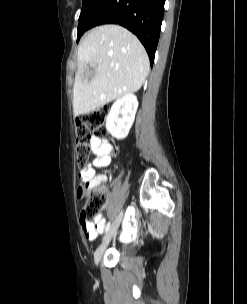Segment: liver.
I'll use <instances>...</instances> for the list:
<instances>
[{
    "label": "liver",
    "mask_w": 247,
    "mask_h": 304,
    "mask_svg": "<svg viewBox=\"0 0 247 304\" xmlns=\"http://www.w3.org/2000/svg\"><path fill=\"white\" fill-rule=\"evenodd\" d=\"M148 72V55L130 31L119 25L92 29L78 46L74 116L138 91Z\"/></svg>",
    "instance_id": "1"
}]
</instances>
